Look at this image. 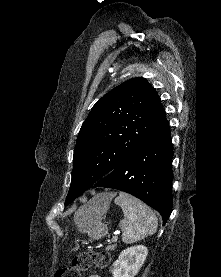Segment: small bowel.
<instances>
[{"mask_svg":"<svg viewBox=\"0 0 221 277\" xmlns=\"http://www.w3.org/2000/svg\"><path fill=\"white\" fill-rule=\"evenodd\" d=\"M88 277H100V276L97 275V274H91V275H89Z\"/></svg>","mask_w":221,"mask_h":277,"instance_id":"obj_1","label":"small bowel"}]
</instances>
